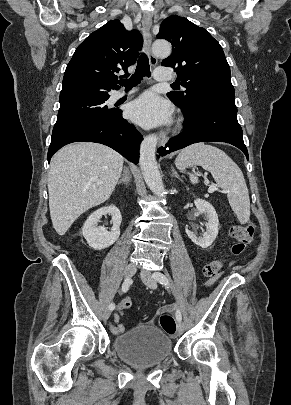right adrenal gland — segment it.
<instances>
[{
	"label": "right adrenal gland",
	"mask_w": 291,
	"mask_h": 405,
	"mask_svg": "<svg viewBox=\"0 0 291 405\" xmlns=\"http://www.w3.org/2000/svg\"><path fill=\"white\" fill-rule=\"evenodd\" d=\"M130 178H131V176H130L129 170L126 167H124L123 175H122L120 181L118 182V184L125 183V184L129 185L130 184Z\"/></svg>",
	"instance_id": "1"
}]
</instances>
